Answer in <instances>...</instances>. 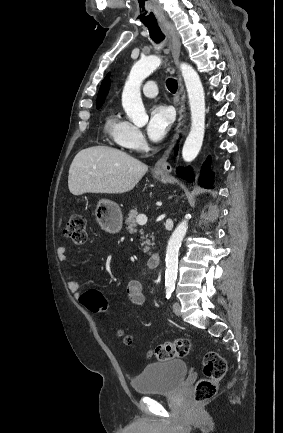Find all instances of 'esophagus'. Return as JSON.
I'll return each mask as SVG.
<instances>
[{
    "instance_id": "34e87169",
    "label": "esophagus",
    "mask_w": 283,
    "mask_h": 433,
    "mask_svg": "<svg viewBox=\"0 0 283 433\" xmlns=\"http://www.w3.org/2000/svg\"><path fill=\"white\" fill-rule=\"evenodd\" d=\"M161 25L163 27V30L166 32V34L169 38V44H170V49H171L172 58L174 60V63L176 66H178L179 57H180V48H181V42H180V37L178 35V32L176 31L174 25L171 22H164ZM178 84H179L180 94H181L180 108H179V112H178L179 117H178V120L176 122V127L174 130L170 145L165 150L162 157L159 158V160L156 162V164L153 168V171L155 173H169L172 170V167L168 163V157L170 155V152H171L176 140L179 137L181 127L183 126V123H184L185 118H186V105H185L186 93H185V88H184L183 83H182V77H181L179 72H178Z\"/></svg>"
}]
</instances>
